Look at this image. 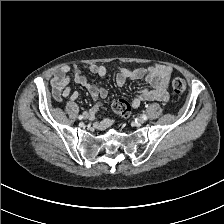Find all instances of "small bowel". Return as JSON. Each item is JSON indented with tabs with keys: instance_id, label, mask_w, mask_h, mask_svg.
Wrapping results in <instances>:
<instances>
[{
	"instance_id": "1",
	"label": "small bowel",
	"mask_w": 224,
	"mask_h": 224,
	"mask_svg": "<svg viewBox=\"0 0 224 224\" xmlns=\"http://www.w3.org/2000/svg\"><path fill=\"white\" fill-rule=\"evenodd\" d=\"M85 68L100 77L105 76L107 73L106 67L100 64H89ZM69 71V66H63L56 71L51 79L52 94L57 101H61L66 97H70L71 100L78 98L77 92H71ZM171 74L172 68L165 65H153L136 69L121 68L116 76V84L123 86L128 80L135 79H145L148 82L150 86L139 90L138 94L130 102L132 108H138L144 101H168V84ZM72 78L77 85L85 88L95 101V106L91 109V115H94L100 107L101 100L107 97V90L104 87L90 83L78 67H74ZM110 124L111 121H104L98 127L106 128Z\"/></svg>"
}]
</instances>
